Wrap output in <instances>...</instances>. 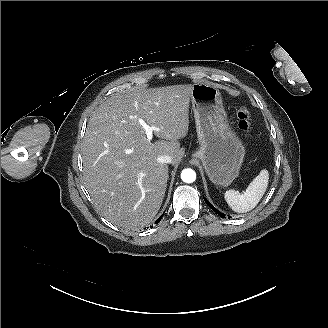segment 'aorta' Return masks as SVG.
I'll return each instance as SVG.
<instances>
[{
	"label": "aorta",
	"mask_w": 328,
	"mask_h": 328,
	"mask_svg": "<svg viewBox=\"0 0 328 328\" xmlns=\"http://www.w3.org/2000/svg\"><path fill=\"white\" fill-rule=\"evenodd\" d=\"M181 179L185 183H193L196 180V173L193 169H184L181 172Z\"/></svg>",
	"instance_id": "1"
}]
</instances>
